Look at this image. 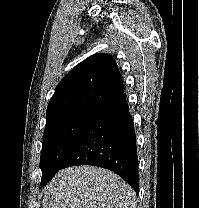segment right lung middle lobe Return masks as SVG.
<instances>
[{"mask_svg":"<svg viewBox=\"0 0 199 208\" xmlns=\"http://www.w3.org/2000/svg\"><path fill=\"white\" fill-rule=\"evenodd\" d=\"M100 107H80L46 120L41 152L42 180H50L78 144Z\"/></svg>","mask_w":199,"mask_h":208,"instance_id":"dd1d6c3e","label":"right lung middle lobe"}]
</instances>
